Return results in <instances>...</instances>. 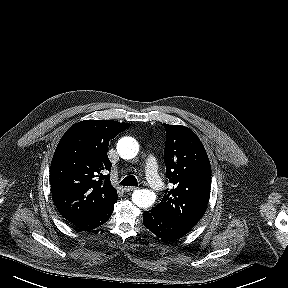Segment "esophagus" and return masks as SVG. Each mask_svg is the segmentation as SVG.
Listing matches in <instances>:
<instances>
[{
    "label": "esophagus",
    "mask_w": 288,
    "mask_h": 288,
    "mask_svg": "<svg viewBox=\"0 0 288 288\" xmlns=\"http://www.w3.org/2000/svg\"><path fill=\"white\" fill-rule=\"evenodd\" d=\"M137 189H138L137 187H125L124 188L125 192H133V191H135Z\"/></svg>",
    "instance_id": "esophagus-1"
}]
</instances>
